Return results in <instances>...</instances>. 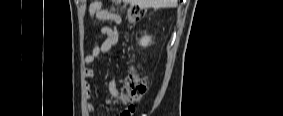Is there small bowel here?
<instances>
[{
  "label": "small bowel",
  "instance_id": "1",
  "mask_svg": "<svg viewBox=\"0 0 283 116\" xmlns=\"http://www.w3.org/2000/svg\"><path fill=\"white\" fill-rule=\"evenodd\" d=\"M88 12L90 15L96 17V19L100 21H110L113 23V26H102L100 28V34L104 36V41L95 44L91 53L85 56V63L87 65L94 64L98 57L102 54L108 53L113 47L118 44L119 41V28L122 24V18L120 15L110 12L109 10L104 8V5L100 1L92 2L88 8ZM95 75V71L92 68L85 69V76L87 78V96L91 97L93 90L92 86L89 82L91 78ZM108 91L113 96L116 97L118 95L117 89V79L116 75H112L111 79L108 83ZM87 109L90 112L95 111V106L92 104L87 105Z\"/></svg>",
  "mask_w": 283,
  "mask_h": 116
}]
</instances>
